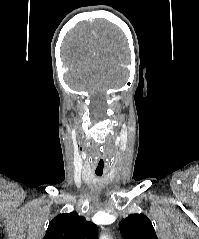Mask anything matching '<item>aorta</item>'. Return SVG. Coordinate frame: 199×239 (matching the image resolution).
<instances>
[{"mask_svg": "<svg viewBox=\"0 0 199 239\" xmlns=\"http://www.w3.org/2000/svg\"><path fill=\"white\" fill-rule=\"evenodd\" d=\"M100 239H109L106 235H102Z\"/></svg>", "mask_w": 199, "mask_h": 239, "instance_id": "aorta-1", "label": "aorta"}]
</instances>
